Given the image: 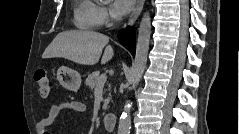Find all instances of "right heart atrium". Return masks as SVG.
I'll return each instance as SVG.
<instances>
[{
  "label": "right heart atrium",
  "mask_w": 239,
  "mask_h": 134,
  "mask_svg": "<svg viewBox=\"0 0 239 134\" xmlns=\"http://www.w3.org/2000/svg\"><path fill=\"white\" fill-rule=\"evenodd\" d=\"M95 22L97 26H102L105 25L109 22L110 20V15L108 8L103 5H96L95 6Z\"/></svg>",
  "instance_id": "obj_1"
}]
</instances>
